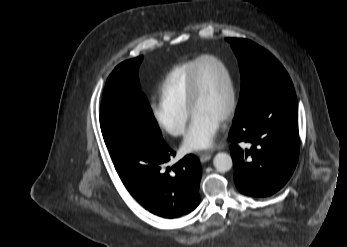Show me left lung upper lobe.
I'll list each match as a JSON object with an SVG mask.
<instances>
[{"label": "left lung upper lobe", "instance_id": "obj_1", "mask_svg": "<svg viewBox=\"0 0 347 247\" xmlns=\"http://www.w3.org/2000/svg\"><path fill=\"white\" fill-rule=\"evenodd\" d=\"M240 67L241 92L235 118L247 113L264 95L292 89V81L281 63L267 50L247 39L227 38Z\"/></svg>", "mask_w": 347, "mask_h": 247}]
</instances>
